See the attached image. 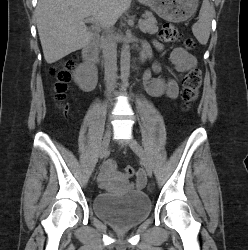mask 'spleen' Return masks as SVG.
<instances>
[{"instance_id":"1","label":"spleen","mask_w":248,"mask_h":250,"mask_svg":"<svg viewBox=\"0 0 248 250\" xmlns=\"http://www.w3.org/2000/svg\"><path fill=\"white\" fill-rule=\"evenodd\" d=\"M213 12L214 8L210 4L209 0H203L199 12V20L192 26L193 35L202 45H205L208 42Z\"/></svg>"}]
</instances>
